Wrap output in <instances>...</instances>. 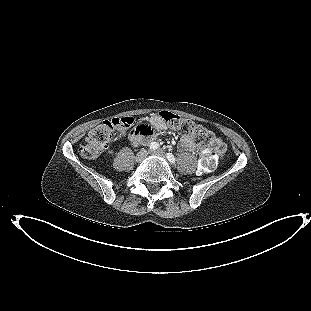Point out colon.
<instances>
[{
	"mask_svg": "<svg viewBox=\"0 0 311 311\" xmlns=\"http://www.w3.org/2000/svg\"><path fill=\"white\" fill-rule=\"evenodd\" d=\"M160 117L164 122L176 128L181 133L190 136L198 144H208L211 146L203 152L200 159V170L210 171L217 163V159L223 155L225 147L221 141L205 127L194 121L176 115L172 112L163 111ZM133 120L131 117H116L105 120L91 129L81 145L80 154L87 159H95L101 151L113 140L124 135L131 127ZM139 135H150V129L141 128Z\"/></svg>",
	"mask_w": 311,
	"mask_h": 311,
	"instance_id": "1",
	"label": "colon"
}]
</instances>
